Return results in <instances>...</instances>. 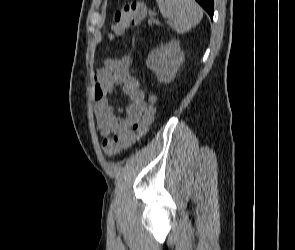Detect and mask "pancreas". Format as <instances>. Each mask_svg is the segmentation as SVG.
Here are the masks:
<instances>
[{
	"label": "pancreas",
	"instance_id": "pancreas-1",
	"mask_svg": "<svg viewBox=\"0 0 295 250\" xmlns=\"http://www.w3.org/2000/svg\"><path fill=\"white\" fill-rule=\"evenodd\" d=\"M149 16H150V18L148 20L149 25H152L153 23H157V21L154 19V13L153 12L149 11Z\"/></svg>",
	"mask_w": 295,
	"mask_h": 250
}]
</instances>
